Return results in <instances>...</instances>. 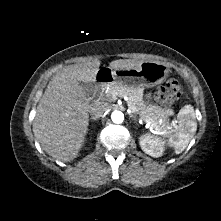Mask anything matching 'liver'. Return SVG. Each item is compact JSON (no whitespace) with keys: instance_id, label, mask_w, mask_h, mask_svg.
Returning <instances> with one entry per match:
<instances>
[{"instance_id":"liver-1","label":"liver","mask_w":221,"mask_h":221,"mask_svg":"<svg viewBox=\"0 0 221 221\" xmlns=\"http://www.w3.org/2000/svg\"><path fill=\"white\" fill-rule=\"evenodd\" d=\"M143 61L119 59L111 70L131 69ZM101 62L70 65L49 82L33 121V133L51 157L69 162L78 156L89 125L90 105L81 83H94ZM113 72V73H114Z\"/></svg>"}]
</instances>
